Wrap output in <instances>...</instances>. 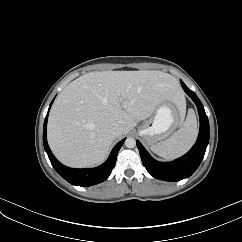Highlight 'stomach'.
I'll return each instance as SVG.
<instances>
[{"instance_id": "1", "label": "stomach", "mask_w": 242, "mask_h": 242, "mask_svg": "<svg viewBox=\"0 0 242 242\" xmlns=\"http://www.w3.org/2000/svg\"><path fill=\"white\" fill-rule=\"evenodd\" d=\"M184 116L185 110L173 102H164L157 107L153 117L138 128V133L148 145H154L170 136L182 124Z\"/></svg>"}]
</instances>
